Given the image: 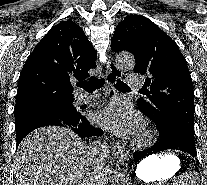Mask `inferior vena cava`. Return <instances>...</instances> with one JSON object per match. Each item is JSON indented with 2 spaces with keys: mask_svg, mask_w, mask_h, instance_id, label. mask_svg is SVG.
<instances>
[{
  "mask_svg": "<svg viewBox=\"0 0 207 185\" xmlns=\"http://www.w3.org/2000/svg\"><path fill=\"white\" fill-rule=\"evenodd\" d=\"M90 149H91V151H94V153H96L95 147H90ZM97 161H98V159H97V157H95V163H97ZM95 181H96L95 185H99V177H97V175L95 177ZM87 185H89V183H87Z\"/></svg>",
  "mask_w": 207,
  "mask_h": 185,
  "instance_id": "602c4592",
  "label": "inferior vena cava"
}]
</instances>
